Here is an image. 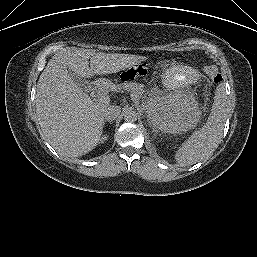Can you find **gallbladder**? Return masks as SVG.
<instances>
[{
  "label": "gallbladder",
  "instance_id": "gallbladder-1",
  "mask_svg": "<svg viewBox=\"0 0 257 257\" xmlns=\"http://www.w3.org/2000/svg\"><path fill=\"white\" fill-rule=\"evenodd\" d=\"M68 74L72 78V80L76 84H78L83 90H87L89 82L86 79L82 78L71 70H68Z\"/></svg>",
  "mask_w": 257,
  "mask_h": 257
}]
</instances>
